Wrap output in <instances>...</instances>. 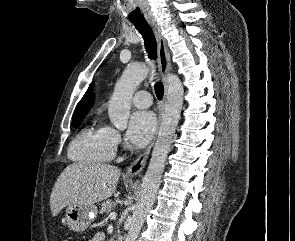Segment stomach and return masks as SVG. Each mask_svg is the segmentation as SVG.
Wrapping results in <instances>:
<instances>
[{
  "label": "stomach",
  "mask_w": 295,
  "mask_h": 241,
  "mask_svg": "<svg viewBox=\"0 0 295 241\" xmlns=\"http://www.w3.org/2000/svg\"><path fill=\"white\" fill-rule=\"evenodd\" d=\"M97 207L87 204H70L66 208L65 220L70 230L83 232L97 217Z\"/></svg>",
  "instance_id": "0dacf381"
}]
</instances>
